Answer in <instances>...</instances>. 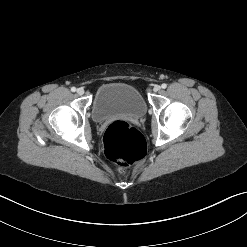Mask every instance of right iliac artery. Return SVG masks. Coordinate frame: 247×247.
<instances>
[{
  "label": "right iliac artery",
  "mask_w": 247,
  "mask_h": 247,
  "mask_svg": "<svg viewBox=\"0 0 247 247\" xmlns=\"http://www.w3.org/2000/svg\"><path fill=\"white\" fill-rule=\"evenodd\" d=\"M71 91H72V92H75V91H76V88H75V87H72V88H71Z\"/></svg>",
  "instance_id": "82829eb1"
}]
</instances>
